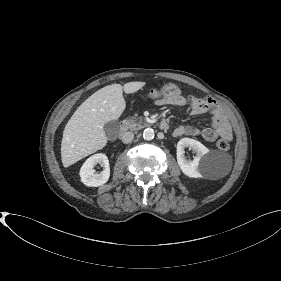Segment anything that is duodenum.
<instances>
[{
	"instance_id": "duodenum-1",
	"label": "duodenum",
	"mask_w": 281,
	"mask_h": 281,
	"mask_svg": "<svg viewBox=\"0 0 281 281\" xmlns=\"http://www.w3.org/2000/svg\"><path fill=\"white\" fill-rule=\"evenodd\" d=\"M159 127L162 129V130H167L169 125L168 123L165 121V120H162L160 121L159 123ZM127 130V124L125 122H122L121 125H120V132L123 133Z\"/></svg>"
}]
</instances>
